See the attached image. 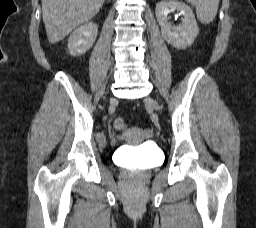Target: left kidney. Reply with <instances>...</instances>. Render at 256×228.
<instances>
[{"instance_id": "left-kidney-1", "label": "left kidney", "mask_w": 256, "mask_h": 228, "mask_svg": "<svg viewBox=\"0 0 256 228\" xmlns=\"http://www.w3.org/2000/svg\"><path fill=\"white\" fill-rule=\"evenodd\" d=\"M175 10L180 12L183 19L181 25L173 27L168 21V14ZM155 13L163 38L177 49H185L190 46L199 34L192 9L182 2L161 1L157 3Z\"/></svg>"}]
</instances>
